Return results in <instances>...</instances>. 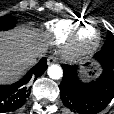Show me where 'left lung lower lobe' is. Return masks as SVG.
Instances as JSON below:
<instances>
[{
    "label": "left lung lower lobe",
    "instance_id": "0a47b994",
    "mask_svg": "<svg viewBox=\"0 0 114 114\" xmlns=\"http://www.w3.org/2000/svg\"><path fill=\"white\" fill-rule=\"evenodd\" d=\"M95 59L101 64L102 74L89 83L79 80L76 66L62 65L64 76L59 85L60 97L73 112L95 114L114 97V51L101 49Z\"/></svg>",
    "mask_w": 114,
    "mask_h": 114
}]
</instances>
